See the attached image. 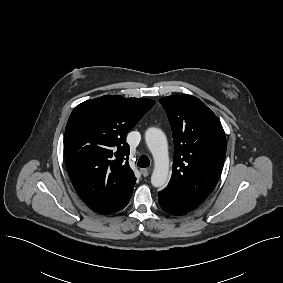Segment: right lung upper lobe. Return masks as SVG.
<instances>
[{"instance_id":"obj_1","label":"right lung upper lobe","mask_w":283,"mask_h":283,"mask_svg":"<svg viewBox=\"0 0 283 283\" xmlns=\"http://www.w3.org/2000/svg\"><path fill=\"white\" fill-rule=\"evenodd\" d=\"M155 101L105 95L74 108L65 129L67 169L81 200L111 214L128 203L136 182L126 134Z\"/></svg>"}]
</instances>
